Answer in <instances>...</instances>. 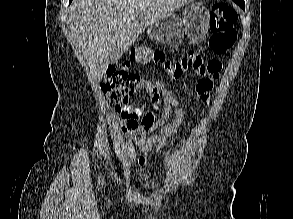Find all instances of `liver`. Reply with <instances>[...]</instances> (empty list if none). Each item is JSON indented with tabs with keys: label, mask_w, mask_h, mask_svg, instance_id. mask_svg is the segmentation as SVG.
<instances>
[{
	"label": "liver",
	"mask_w": 293,
	"mask_h": 219,
	"mask_svg": "<svg viewBox=\"0 0 293 219\" xmlns=\"http://www.w3.org/2000/svg\"><path fill=\"white\" fill-rule=\"evenodd\" d=\"M193 0H73L69 10L72 41L78 58L99 81L110 64L118 63L142 31Z\"/></svg>",
	"instance_id": "1"
}]
</instances>
